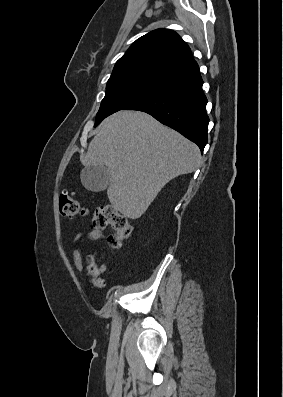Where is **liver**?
Wrapping results in <instances>:
<instances>
[{"instance_id":"obj_1","label":"liver","mask_w":283,"mask_h":397,"mask_svg":"<svg viewBox=\"0 0 283 397\" xmlns=\"http://www.w3.org/2000/svg\"><path fill=\"white\" fill-rule=\"evenodd\" d=\"M85 167L105 165L107 196L125 217L140 218L173 178L201 164L198 146L141 111H118L100 124L86 154Z\"/></svg>"}]
</instances>
